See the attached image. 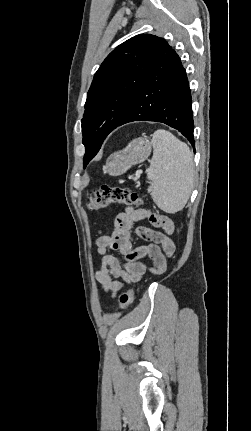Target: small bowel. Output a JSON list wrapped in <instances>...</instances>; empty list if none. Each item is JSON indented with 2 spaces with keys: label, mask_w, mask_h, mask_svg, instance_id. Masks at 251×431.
<instances>
[{
  "label": "small bowel",
  "mask_w": 251,
  "mask_h": 431,
  "mask_svg": "<svg viewBox=\"0 0 251 431\" xmlns=\"http://www.w3.org/2000/svg\"><path fill=\"white\" fill-rule=\"evenodd\" d=\"M149 217L151 222L163 231L147 227H137L136 234L150 242L147 245L133 248L131 230L136 222ZM174 231L173 222L163 215H150L146 210L126 208L115 219L113 232L103 235L96 241L97 254L101 264L95 278L104 292L114 298L124 284L140 281L147 271L161 274L166 270L167 260L175 252V244L170 235ZM118 251L125 262L123 264L110 252ZM149 257L153 265L146 266L140 260Z\"/></svg>",
  "instance_id": "small-bowel-1"
}]
</instances>
